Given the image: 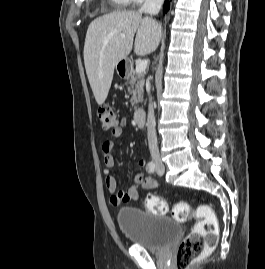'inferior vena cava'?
Segmentation results:
<instances>
[{
    "instance_id": "602c4592",
    "label": "inferior vena cava",
    "mask_w": 265,
    "mask_h": 269,
    "mask_svg": "<svg viewBox=\"0 0 265 269\" xmlns=\"http://www.w3.org/2000/svg\"><path fill=\"white\" fill-rule=\"evenodd\" d=\"M163 0H145L143 6L140 8L139 12L147 13L150 15H156L161 10ZM155 117L153 103L150 99L147 117V137L150 154L153 160H159L160 154L157 143L156 129H155Z\"/></svg>"
}]
</instances>
